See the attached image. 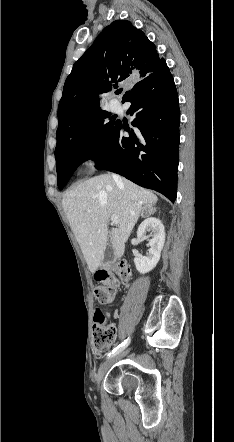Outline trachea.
Here are the masks:
<instances>
[{"mask_svg":"<svg viewBox=\"0 0 234 442\" xmlns=\"http://www.w3.org/2000/svg\"><path fill=\"white\" fill-rule=\"evenodd\" d=\"M116 94H119L120 93V91L119 90H117L116 92H115Z\"/></svg>","mask_w":234,"mask_h":442,"instance_id":"trachea-1","label":"trachea"}]
</instances>
